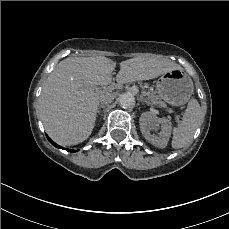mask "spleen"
Instances as JSON below:
<instances>
[{
    "mask_svg": "<svg viewBox=\"0 0 229 229\" xmlns=\"http://www.w3.org/2000/svg\"><path fill=\"white\" fill-rule=\"evenodd\" d=\"M204 116L201 112L200 105L192 100L184 113L183 120L173 128V148L180 149L188 146L196 130L203 124Z\"/></svg>",
    "mask_w": 229,
    "mask_h": 229,
    "instance_id": "spleen-1",
    "label": "spleen"
}]
</instances>
